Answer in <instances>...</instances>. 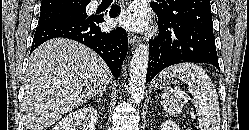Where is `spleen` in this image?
Instances as JSON below:
<instances>
[{
	"mask_svg": "<svg viewBox=\"0 0 249 130\" xmlns=\"http://www.w3.org/2000/svg\"><path fill=\"white\" fill-rule=\"evenodd\" d=\"M176 76L188 85V90L193 96L200 129L220 130L218 95L205 70L193 63H182L170 66L160 74L164 79ZM161 103L168 114H179L183 108L181 91L175 89L171 92H163Z\"/></svg>",
	"mask_w": 249,
	"mask_h": 130,
	"instance_id": "obj_1",
	"label": "spleen"
}]
</instances>
